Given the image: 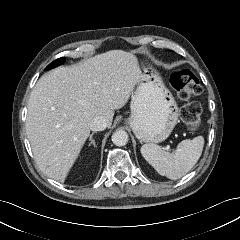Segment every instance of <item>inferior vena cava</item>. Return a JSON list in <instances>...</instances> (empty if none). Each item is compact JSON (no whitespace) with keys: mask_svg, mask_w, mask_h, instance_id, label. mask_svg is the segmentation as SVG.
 Wrapping results in <instances>:
<instances>
[{"mask_svg":"<svg viewBox=\"0 0 240 240\" xmlns=\"http://www.w3.org/2000/svg\"><path fill=\"white\" fill-rule=\"evenodd\" d=\"M89 127L92 131H103L107 127V122L104 117L97 116L90 121Z\"/></svg>","mask_w":240,"mask_h":240,"instance_id":"inferior-vena-cava-1","label":"inferior vena cava"}]
</instances>
